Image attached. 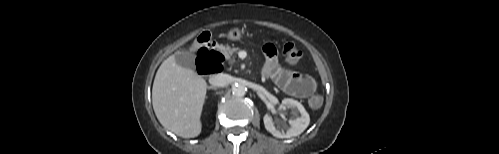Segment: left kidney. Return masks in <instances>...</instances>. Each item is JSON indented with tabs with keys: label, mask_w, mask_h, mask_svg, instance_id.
<instances>
[{
	"label": "left kidney",
	"mask_w": 499,
	"mask_h": 154,
	"mask_svg": "<svg viewBox=\"0 0 499 154\" xmlns=\"http://www.w3.org/2000/svg\"><path fill=\"white\" fill-rule=\"evenodd\" d=\"M282 106L284 109L291 108L295 112V114L299 112L301 116L289 120V124L291 125V127L285 132L281 127L276 128L274 126L272 117L269 114H266L263 118L266 130L277 138H291L293 136L300 135L310 123L309 114L305 110L304 106L294 99H283Z\"/></svg>",
	"instance_id": "5707ae66"
}]
</instances>
